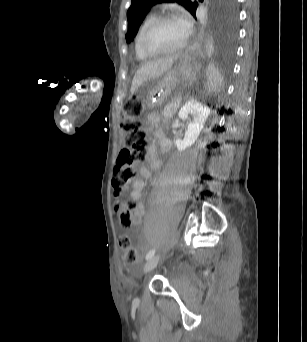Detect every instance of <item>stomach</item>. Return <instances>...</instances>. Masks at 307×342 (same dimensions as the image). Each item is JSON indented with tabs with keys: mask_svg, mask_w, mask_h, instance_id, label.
Returning a JSON list of instances; mask_svg holds the SVG:
<instances>
[{
	"mask_svg": "<svg viewBox=\"0 0 307 342\" xmlns=\"http://www.w3.org/2000/svg\"><path fill=\"white\" fill-rule=\"evenodd\" d=\"M193 58L179 56L161 76L144 82L137 90L145 106L153 108L164 101L181 99L183 92L194 80Z\"/></svg>",
	"mask_w": 307,
	"mask_h": 342,
	"instance_id": "stomach-1",
	"label": "stomach"
}]
</instances>
